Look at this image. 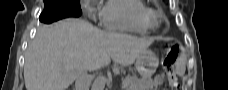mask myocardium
Returning <instances> with one entry per match:
<instances>
[{
	"mask_svg": "<svg viewBox=\"0 0 228 90\" xmlns=\"http://www.w3.org/2000/svg\"><path fill=\"white\" fill-rule=\"evenodd\" d=\"M148 23L150 27H158L160 25L159 16L154 10L148 13Z\"/></svg>",
	"mask_w": 228,
	"mask_h": 90,
	"instance_id": "myocardium-1",
	"label": "myocardium"
}]
</instances>
